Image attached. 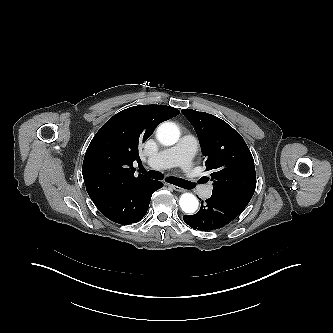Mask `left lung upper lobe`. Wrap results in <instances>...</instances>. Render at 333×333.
I'll return each instance as SVG.
<instances>
[{
  "mask_svg": "<svg viewBox=\"0 0 333 333\" xmlns=\"http://www.w3.org/2000/svg\"><path fill=\"white\" fill-rule=\"evenodd\" d=\"M193 125L211 171L212 195L243 211L256 188L252 154L241 135L222 119L205 112L183 109Z\"/></svg>",
  "mask_w": 333,
  "mask_h": 333,
  "instance_id": "5c2ea615",
  "label": "left lung upper lobe"
}]
</instances>
